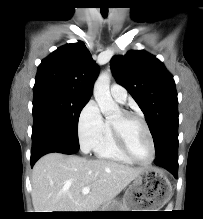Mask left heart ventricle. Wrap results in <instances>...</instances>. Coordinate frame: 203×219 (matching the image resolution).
I'll return each mask as SVG.
<instances>
[{
  "label": "left heart ventricle",
  "mask_w": 203,
  "mask_h": 219,
  "mask_svg": "<svg viewBox=\"0 0 203 219\" xmlns=\"http://www.w3.org/2000/svg\"><path fill=\"white\" fill-rule=\"evenodd\" d=\"M112 121H120L118 112ZM124 131L128 147L135 158L146 162L151 158V145L143 124L135 118L129 119L124 123Z\"/></svg>",
  "instance_id": "b2bd125f"
}]
</instances>
